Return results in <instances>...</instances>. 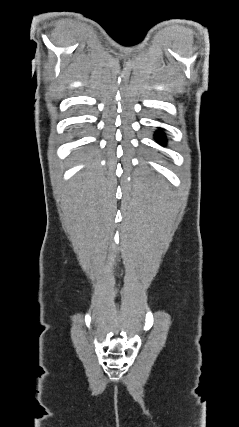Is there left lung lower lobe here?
<instances>
[{
  "label": "left lung lower lobe",
  "mask_w": 239,
  "mask_h": 427,
  "mask_svg": "<svg viewBox=\"0 0 239 427\" xmlns=\"http://www.w3.org/2000/svg\"><path fill=\"white\" fill-rule=\"evenodd\" d=\"M155 138L158 140V142H160L161 144L162 143H165V137H164V134L161 132V131H157L156 132V134H155Z\"/></svg>",
  "instance_id": "1"
}]
</instances>
